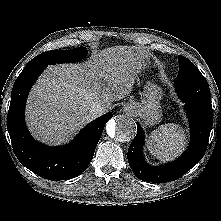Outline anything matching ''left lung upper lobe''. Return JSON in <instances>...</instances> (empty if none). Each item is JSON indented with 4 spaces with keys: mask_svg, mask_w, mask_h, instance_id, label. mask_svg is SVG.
Segmentation results:
<instances>
[{
    "mask_svg": "<svg viewBox=\"0 0 221 221\" xmlns=\"http://www.w3.org/2000/svg\"><path fill=\"white\" fill-rule=\"evenodd\" d=\"M179 61V73L175 82L177 81H194L205 80V77L201 74L198 68L186 57L180 55Z\"/></svg>",
    "mask_w": 221,
    "mask_h": 221,
    "instance_id": "1",
    "label": "left lung upper lobe"
}]
</instances>
